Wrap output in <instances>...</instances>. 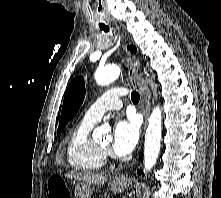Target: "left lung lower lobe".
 <instances>
[{
	"label": "left lung lower lobe",
	"mask_w": 221,
	"mask_h": 198,
	"mask_svg": "<svg viewBox=\"0 0 221 198\" xmlns=\"http://www.w3.org/2000/svg\"><path fill=\"white\" fill-rule=\"evenodd\" d=\"M138 174L139 175H141V174L143 175L142 169L138 170Z\"/></svg>",
	"instance_id": "0a47b994"
}]
</instances>
